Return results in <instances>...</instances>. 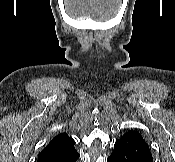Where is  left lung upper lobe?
Here are the masks:
<instances>
[{
  "label": "left lung upper lobe",
  "instance_id": "1",
  "mask_svg": "<svg viewBox=\"0 0 175 162\" xmlns=\"http://www.w3.org/2000/svg\"><path fill=\"white\" fill-rule=\"evenodd\" d=\"M128 132H135V133L139 134L138 132H136V131H133V130H131V131H128ZM139 135H140V134H139Z\"/></svg>",
  "mask_w": 175,
  "mask_h": 162
}]
</instances>
